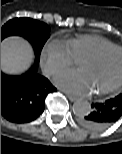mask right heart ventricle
<instances>
[{
	"mask_svg": "<svg viewBox=\"0 0 122 154\" xmlns=\"http://www.w3.org/2000/svg\"><path fill=\"white\" fill-rule=\"evenodd\" d=\"M75 60L115 44L109 39L97 34H84L65 41Z\"/></svg>",
	"mask_w": 122,
	"mask_h": 154,
	"instance_id": "obj_1",
	"label": "right heart ventricle"
}]
</instances>
